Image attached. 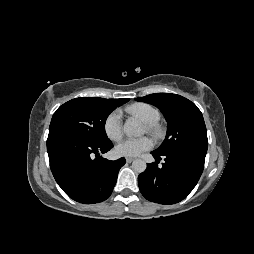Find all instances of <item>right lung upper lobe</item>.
Here are the masks:
<instances>
[{
    "mask_svg": "<svg viewBox=\"0 0 254 254\" xmlns=\"http://www.w3.org/2000/svg\"><path fill=\"white\" fill-rule=\"evenodd\" d=\"M128 98H121V99H110V102L115 105L116 107L121 106L122 104L128 102Z\"/></svg>",
    "mask_w": 254,
    "mask_h": 254,
    "instance_id": "cb5924a9",
    "label": "right lung upper lobe"
}]
</instances>
